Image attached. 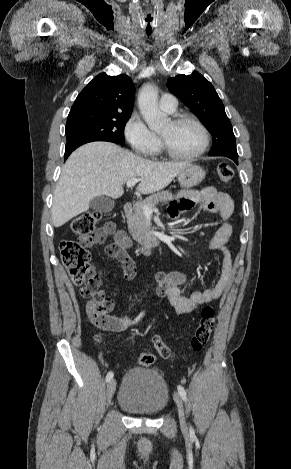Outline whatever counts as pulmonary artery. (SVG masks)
<instances>
[{"mask_svg":"<svg viewBox=\"0 0 291 469\" xmlns=\"http://www.w3.org/2000/svg\"><path fill=\"white\" fill-rule=\"evenodd\" d=\"M177 105V99L171 94H163L159 101V107L168 113L175 112Z\"/></svg>","mask_w":291,"mask_h":469,"instance_id":"e3ab8cb5","label":"pulmonary artery"}]
</instances>
